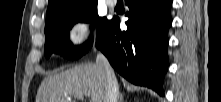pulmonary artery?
<instances>
[{"instance_id":"1","label":"pulmonary artery","mask_w":221,"mask_h":102,"mask_svg":"<svg viewBox=\"0 0 221 102\" xmlns=\"http://www.w3.org/2000/svg\"><path fill=\"white\" fill-rule=\"evenodd\" d=\"M106 3L108 6L114 7L117 3V0H107Z\"/></svg>"}]
</instances>
